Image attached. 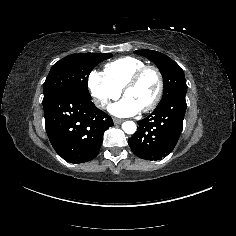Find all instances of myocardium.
<instances>
[{"label":"myocardium","mask_w":236,"mask_h":236,"mask_svg":"<svg viewBox=\"0 0 236 236\" xmlns=\"http://www.w3.org/2000/svg\"><path fill=\"white\" fill-rule=\"evenodd\" d=\"M148 71H151L156 75L157 90H156V94H155L154 98L152 99V101L146 107L141 109L142 112H148V111L152 110L153 108H155L162 98L163 91H164V79H163V75H162L161 71L155 66L145 65V66L139 68L137 71H135L128 78V80L125 82L123 89H122V95L124 96L125 92L129 88L133 87L141 79V77Z\"/></svg>","instance_id":"f54148a6"}]
</instances>
